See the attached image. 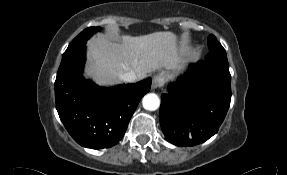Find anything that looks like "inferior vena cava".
Wrapping results in <instances>:
<instances>
[{"label":"inferior vena cava","instance_id":"inferior-vena-cava-1","mask_svg":"<svg viewBox=\"0 0 287 175\" xmlns=\"http://www.w3.org/2000/svg\"><path fill=\"white\" fill-rule=\"evenodd\" d=\"M121 79H122L124 82L132 83V82L137 81V80H138V77H137V75H136L134 72H127V73H124V74L121 76Z\"/></svg>","mask_w":287,"mask_h":175}]
</instances>
